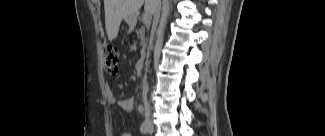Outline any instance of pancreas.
<instances>
[{"mask_svg": "<svg viewBox=\"0 0 325 136\" xmlns=\"http://www.w3.org/2000/svg\"><path fill=\"white\" fill-rule=\"evenodd\" d=\"M137 27V33H139V38L140 40H147V38L145 37V33H146V28L145 27H139L138 25L136 26ZM139 27V28H138Z\"/></svg>", "mask_w": 325, "mask_h": 136, "instance_id": "pancreas-1", "label": "pancreas"}]
</instances>
